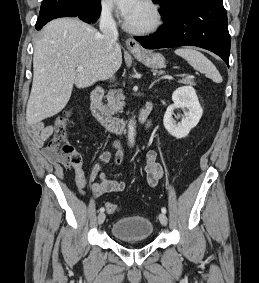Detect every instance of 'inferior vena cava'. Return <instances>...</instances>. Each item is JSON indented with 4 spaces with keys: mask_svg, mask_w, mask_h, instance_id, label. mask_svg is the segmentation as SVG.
Wrapping results in <instances>:
<instances>
[{
    "mask_svg": "<svg viewBox=\"0 0 259 283\" xmlns=\"http://www.w3.org/2000/svg\"><path fill=\"white\" fill-rule=\"evenodd\" d=\"M99 27L102 32L103 41L107 47V52L111 54L116 40L118 37V31L116 28V23L112 17L111 8L104 6L102 8L101 16L99 19ZM114 74L110 77L112 78Z\"/></svg>",
    "mask_w": 259,
    "mask_h": 283,
    "instance_id": "1",
    "label": "inferior vena cava"
}]
</instances>
